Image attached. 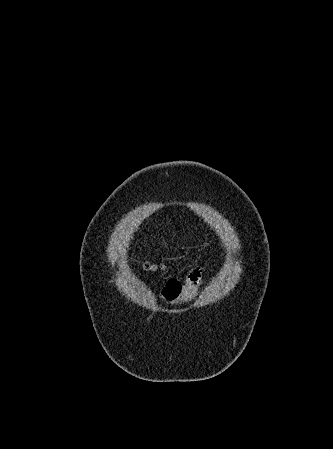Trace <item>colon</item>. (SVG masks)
<instances>
[{"mask_svg":"<svg viewBox=\"0 0 333 449\" xmlns=\"http://www.w3.org/2000/svg\"><path fill=\"white\" fill-rule=\"evenodd\" d=\"M146 268L151 269V270H155L157 268L156 265H151V264H146Z\"/></svg>","mask_w":333,"mask_h":449,"instance_id":"1","label":"colon"}]
</instances>
